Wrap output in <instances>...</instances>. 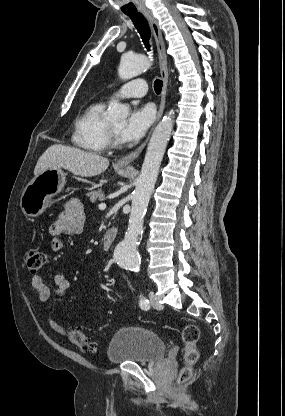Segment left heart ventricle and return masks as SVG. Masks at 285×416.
Returning <instances> with one entry per match:
<instances>
[{
    "instance_id": "left-heart-ventricle-1",
    "label": "left heart ventricle",
    "mask_w": 285,
    "mask_h": 416,
    "mask_svg": "<svg viewBox=\"0 0 285 416\" xmlns=\"http://www.w3.org/2000/svg\"><path fill=\"white\" fill-rule=\"evenodd\" d=\"M108 124L110 125V127L113 129V131L118 134L120 128L122 127V125L124 124V120H117V121H111L108 122Z\"/></svg>"
}]
</instances>
